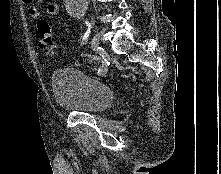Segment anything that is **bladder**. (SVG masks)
<instances>
[{"mask_svg":"<svg viewBox=\"0 0 221 174\" xmlns=\"http://www.w3.org/2000/svg\"><path fill=\"white\" fill-rule=\"evenodd\" d=\"M51 86L57 105L66 112H102L114 99L108 85L73 68L56 70L51 78Z\"/></svg>","mask_w":221,"mask_h":174,"instance_id":"bladder-1","label":"bladder"}]
</instances>
